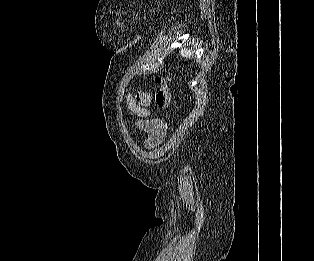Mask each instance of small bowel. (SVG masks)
<instances>
[{
    "mask_svg": "<svg viewBox=\"0 0 314 261\" xmlns=\"http://www.w3.org/2000/svg\"><path fill=\"white\" fill-rule=\"evenodd\" d=\"M151 102V95L147 92H140L136 99L129 98L128 106L141 120L138 127L147 134L146 145L155 147L161 144L166 135V126L157 119L149 118L148 106Z\"/></svg>",
    "mask_w": 314,
    "mask_h": 261,
    "instance_id": "1",
    "label": "small bowel"
}]
</instances>
